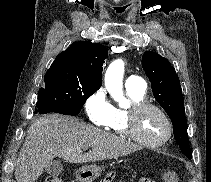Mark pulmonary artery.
Masks as SVG:
<instances>
[{
    "label": "pulmonary artery",
    "instance_id": "pulmonary-artery-1",
    "mask_svg": "<svg viewBox=\"0 0 211 182\" xmlns=\"http://www.w3.org/2000/svg\"><path fill=\"white\" fill-rule=\"evenodd\" d=\"M126 90L134 91L144 94L146 90V83L137 75H130L125 81Z\"/></svg>",
    "mask_w": 211,
    "mask_h": 182
}]
</instances>
